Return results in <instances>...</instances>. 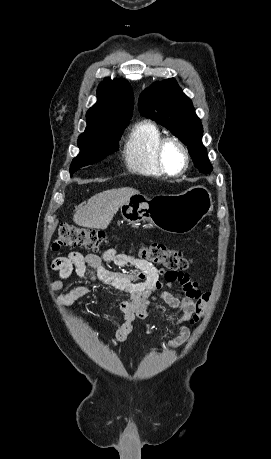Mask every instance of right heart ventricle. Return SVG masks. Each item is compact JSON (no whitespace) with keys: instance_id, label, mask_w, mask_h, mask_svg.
Masks as SVG:
<instances>
[{"instance_id":"obj_1","label":"right heart ventricle","mask_w":271,"mask_h":459,"mask_svg":"<svg viewBox=\"0 0 271 459\" xmlns=\"http://www.w3.org/2000/svg\"><path fill=\"white\" fill-rule=\"evenodd\" d=\"M162 136L161 128L150 120H142L131 128L122 151L131 172L152 178L167 177L155 156L157 142Z\"/></svg>"}]
</instances>
